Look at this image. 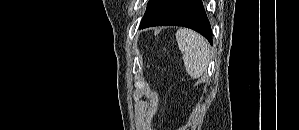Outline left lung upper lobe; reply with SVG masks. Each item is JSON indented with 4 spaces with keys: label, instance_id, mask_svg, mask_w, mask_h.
Returning <instances> with one entry per match:
<instances>
[{
    "label": "left lung upper lobe",
    "instance_id": "5c2ea615",
    "mask_svg": "<svg viewBox=\"0 0 299 130\" xmlns=\"http://www.w3.org/2000/svg\"><path fill=\"white\" fill-rule=\"evenodd\" d=\"M152 2H153V0H150V1H149L148 7H147V11H146L145 15L147 14V12H148V10H149L150 5H151ZM145 15H144V16H145Z\"/></svg>",
    "mask_w": 299,
    "mask_h": 130
}]
</instances>
